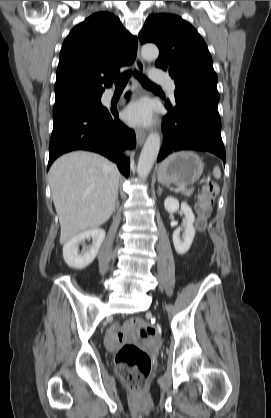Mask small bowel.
Listing matches in <instances>:
<instances>
[{
	"mask_svg": "<svg viewBox=\"0 0 271 418\" xmlns=\"http://www.w3.org/2000/svg\"><path fill=\"white\" fill-rule=\"evenodd\" d=\"M136 324L137 320H132L128 322L126 325H124V327L122 328L113 327L106 338V343L108 347L116 348L120 344V342L125 338L126 333L129 332ZM152 342H154V340H152Z\"/></svg>",
	"mask_w": 271,
	"mask_h": 418,
	"instance_id": "small-bowel-1",
	"label": "small bowel"
}]
</instances>
